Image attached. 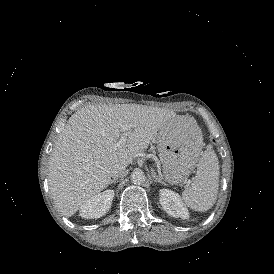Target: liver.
<instances>
[{
    "label": "liver",
    "instance_id": "1",
    "mask_svg": "<svg viewBox=\"0 0 274 274\" xmlns=\"http://www.w3.org/2000/svg\"><path fill=\"white\" fill-rule=\"evenodd\" d=\"M185 119L160 107L129 104H89L69 118L52 151L48 183L55 204L71 217L109 184L117 165L129 166L146 152L155 136L171 135ZM132 124L123 147L115 144L122 126Z\"/></svg>",
    "mask_w": 274,
    "mask_h": 274
}]
</instances>
